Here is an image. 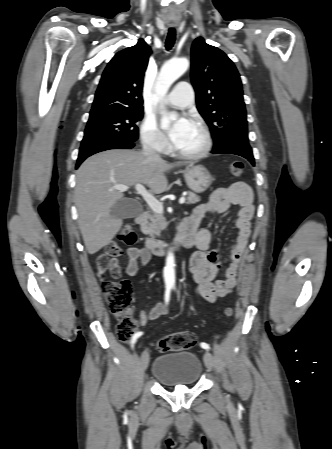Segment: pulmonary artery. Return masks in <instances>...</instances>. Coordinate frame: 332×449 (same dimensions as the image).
I'll list each match as a JSON object with an SVG mask.
<instances>
[{
	"label": "pulmonary artery",
	"mask_w": 332,
	"mask_h": 449,
	"mask_svg": "<svg viewBox=\"0 0 332 449\" xmlns=\"http://www.w3.org/2000/svg\"><path fill=\"white\" fill-rule=\"evenodd\" d=\"M194 90L190 83L186 81L178 82L170 94L166 97V102L174 107L185 108L193 103Z\"/></svg>",
	"instance_id": "e3ab8cb5"
}]
</instances>
